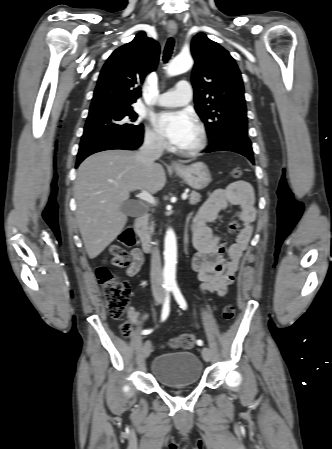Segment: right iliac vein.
I'll return each mask as SVG.
<instances>
[{"label":"right iliac vein","instance_id":"right-iliac-vein-1","mask_svg":"<svg viewBox=\"0 0 332 449\" xmlns=\"http://www.w3.org/2000/svg\"><path fill=\"white\" fill-rule=\"evenodd\" d=\"M162 300H163V299H162L161 296H158V297L156 298V301H157L158 304L162 303ZM151 351H152L151 342H150V341H146L145 344H144V346H143V356H144L145 358L149 357Z\"/></svg>","mask_w":332,"mask_h":449}]
</instances>
